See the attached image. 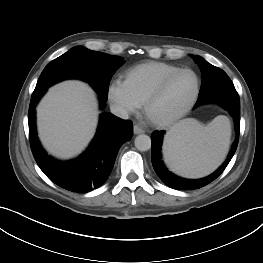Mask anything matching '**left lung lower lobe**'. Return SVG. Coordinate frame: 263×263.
<instances>
[{
  "label": "left lung lower lobe",
  "mask_w": 263,
  "mask_h": 263,
  "mask_svg": "<svg viewBox=\"0 0 263 263\" xmlns=\"http://www.w3.org/2000/svg\"><path fill=\"white\" fill-rule=\"evenodd\" d=\"M213 68H204L202 70L203 75H213ZM214 102L223 106L232 115L235 122L236 128V139L233 143L232 149L229 153L227 160L216 170L213 174L208 177L198 179V180H188L180 178L172 174L163 164L161 160V144L163 139V134L165 131H155L151 135L152 141V165L159 176V178L169 187L178 190L187 189H198L201 188L213 180H215L226 168L232 159L238 145L239 133H240V99L237 91L235 89L227 90H215L211 91L203 96H199L195 104V108L201 104Z\"/></svg>",
  "instance_id": "obj_1"
}]
</instances>
